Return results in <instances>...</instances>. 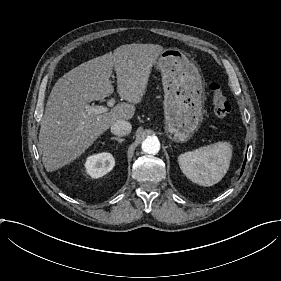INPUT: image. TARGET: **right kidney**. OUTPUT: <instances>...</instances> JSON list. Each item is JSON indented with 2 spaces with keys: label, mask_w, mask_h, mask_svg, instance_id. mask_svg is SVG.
<instances>
[{
  "label": "right kidney",
  "mask_w": 281,
  "mask_h": 281,
  "mask_svg": "<svg viewBox=\"0 0 281 281\" xmlns=\"http://www.w3.org/2000/svg\"><path fill=\"white\" fill-rule=\"evenodd\" d=\"M115 165V158L108 151L87 155L83 160L84 173L91 179L106 175Z\"/></svg>",
  "instance_id": "ca27d5eb"
}]
</instances>
